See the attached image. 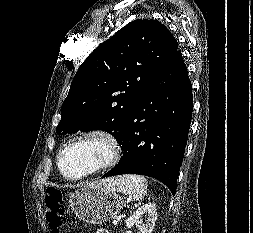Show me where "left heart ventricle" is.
Returning a JSON list of instances; mask_svg holds the SVG:
<instances>
[{"instance_id":"obj_1","label":"left heart ventricle","mask_w":253,"mask_h":233,"mask_svg":"<svg viewBox=\"0 0 253 233\" xmlns=\"http://www.w3.org/2000/svg\"><path fill=\"white\" fill-rule=\"evenodd\" d=\"M109 154L106 143L88 140L72 145L62 157V169L69 176L83 174L105 161Z\"/></svg>"}]
</instances>
